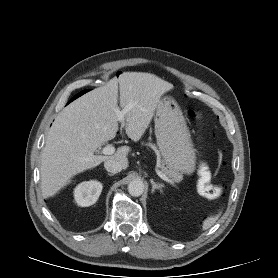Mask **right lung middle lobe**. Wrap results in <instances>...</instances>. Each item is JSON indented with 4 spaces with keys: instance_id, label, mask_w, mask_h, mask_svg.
Returning <instances> with one entry per match:
<instances>
[{
    "instance_id": "1",
    "label": "right lung middle lobe",
    "mask_w": 278,
    "mask_h": 278,
    "mask_svg": "<svg viewBox=\"0 0 278 278\" xmlns=\"http://www.w3.org/2000/svg\"><path fill=\"white\" fill-rule=\"evenodd\" d=\"M87 92V90L83 91V93Z\"/></svg>"
}]
</instances>
